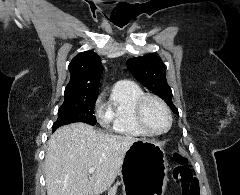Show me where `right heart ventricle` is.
Segmentation results:
<instances>
[{"mask_svg": "<svg viewBox=\"0 0 240 195\" xmlns=\"http://www.w3.org/2000/svg\"><path fill=\"white\" fill-rule=\"evenodd\" d=\"M144 93L135 83L118 82L111 93L104 125L114 136L145 137L148 134L138 125L135 116V105Z\"/></svg>", "mask_w": 240, "mask_h": 195, "instance_id": "1", "label": "right heart ventricle"}]
</instances>
